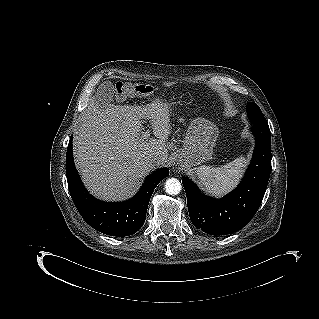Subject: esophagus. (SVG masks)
<instances>
[{
    "label": "esophagus",
    "instance_id": "1",
    "mask_svg": "<svg viewBox=\"0 0 319 319\" xmlns=\"http://www.w3.org/2000/svg\"><path fill=\"white\" fill-rule=\"evenodd\" d=\"M173 169H174V171H175V170L178 171V168H177V167H173Z\"/></svg>",
    "mask_w": 319,
    "mask_h": 319
}]
</instances>
